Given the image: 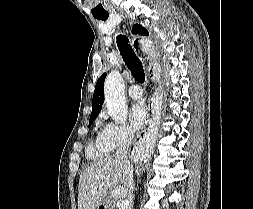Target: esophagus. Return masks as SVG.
Segmentation results:
<instances>
[{
  "mask_svg": "<svg viewBox=\"0 0 253 209\" xmlns=\"http://www.w3.org/2000/svg\"><path fill=\"white\" fill-rule=\"evenodd\" d=\"M132 44H133V47L135 49L140 48V42H139L138 38H134L132 40ZM154 113H155L154 104H153L152 101L151 102L149 101L147 121H146L145 125L143 126L141 132L139 133L138 138H141L142 135L144 134V132H146L147 129H149L150 127L153 126V124H154Z\"/></svg>",
  "mask_w": 253,
  "mask_h": 209,
  "instance_id": "esophagus-1",
  "label": "esophagus"
}]
</instances>
